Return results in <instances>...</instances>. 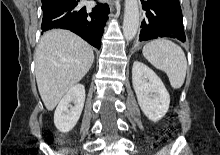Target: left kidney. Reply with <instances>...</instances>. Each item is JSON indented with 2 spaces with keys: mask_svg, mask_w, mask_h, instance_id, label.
<instances>
[{
  "mask_svg": "<svg viewBox=\"0 0 220 155\" xmlns=\"http://www.w3.org/2000/svg\"><path fill=\"white\" fill-rule=\"evenodd\" d=\"M132 84L145 116L153 122L164 117L169 109L170 95L155 72L144 63L135 61L132 67Z\"/></svg>",
  "mask_w": 220,
  "mask_h": 155,
  "instance_id": "obj_1",
  "label": "left kidney"
}]
</instances>
